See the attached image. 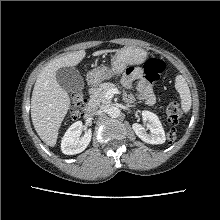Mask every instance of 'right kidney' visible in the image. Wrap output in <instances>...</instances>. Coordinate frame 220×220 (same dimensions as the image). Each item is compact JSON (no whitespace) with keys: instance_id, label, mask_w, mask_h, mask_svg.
<instances>
[{"instance_id":"right-kidney-1","label":"right kidney","mask_w":220,"mask_h":220,"mask_svg":"<svg viewBox=\"0 0 220 220\" xmlns=\"http://www.w3.org/2000/svg\"><path fill=\"white\" fill-rule=\"evenodd\" d=\"M83 125L81 121L73 123L65 132L61 141V150L66 155H74L84 151L92 137L91 129H88L80 138Z\"/></svg>"}]
</instances>
